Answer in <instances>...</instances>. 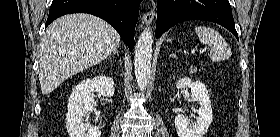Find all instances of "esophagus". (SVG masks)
<instances>
[{
    "mask_svg": "<svg viewBox=\"0 0 280 137\" xmlns=\"http://www.w3.org/2000/svg\"><path fill=\"white\" fill-rule=\"evenodd\" d=\"M151 2H152V9L147 13H143L141 17L142 22L145 24H150L155 16L154 2L153 1Z\"/></svg>",
    "mask_w": 280,
    "mask_h": 137,
    "instance_id": "esophagus-1",
    "label": "esophagus"
}]
</instances>
